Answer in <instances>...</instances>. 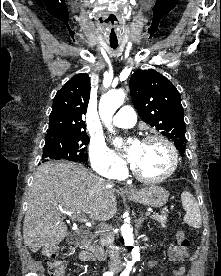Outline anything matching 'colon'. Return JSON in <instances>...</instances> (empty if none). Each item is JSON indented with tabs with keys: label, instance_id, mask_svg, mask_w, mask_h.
I'll use <instances>...</instances> for the list:
<instances>
[{
	"label": "colon",
	"instance_id": "obj_1",
	"mask_svg": "<svg viewBox=\"0 0 221 276\" xmlns=\"http://www.w3.org/2000/svg\"><path fill=\"white\" fill-rule=\"evenodd\" d=\"M177 246L187 249L190 246V242L186 236L184 230H178L176 232ZM43 254L48 259V273L50 276H66L67 264L63 260L56 259L58 254L57 246H45L42 249Z\"/></svg>",
	"mask_w": 221,
	"mask_h": 276
}]
</instances>
